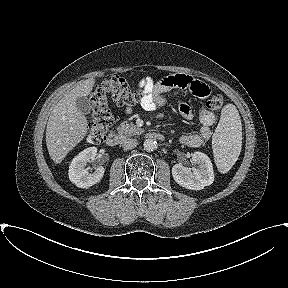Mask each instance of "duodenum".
Wrapping results in <instances>:
<instances>
[{
	"mask_svg": "<svg viewBox=\"0 0 288 288\" xmlns=\"http://www.w3.org/2000/svg\"><path fill=\"white\" fill-rule=\"evenodd\" d=\"M147 137L150 139H155V140H159V141L164 140V135L162 133H159V132H149V133H147ZM121 140L122 139H121V136L119 134H117L115 132H111L107 137L106 143L110 147H115V146L120 144Z\"/></svg>",
	"mask_w": 288,
	"mask_h": 288,
	"instance_id": "obj_1",
	"label": "duodenum"
}]
</instances>
